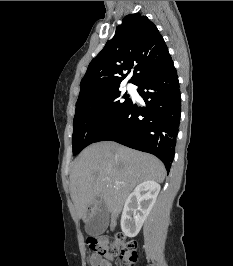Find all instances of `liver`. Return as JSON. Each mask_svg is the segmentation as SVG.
<instances>
[{
  "label": "liver",
  "mask_w": 233,
  "mask_h": 266,
  "mask_svg": "<svg viewBox=\"0 0 233 266\" xmlns=\"http://www.w3.org/2000/svg\"><path fill=\"white\" fill-rule=\"evenodd\" d=\"M165 176L163 163L153 155L112 141L94 143L75 159L70 174V194L77 217L87 221L92 216L88 207L98 197L109 213L118 215L136 185L149 180L162 183ZM116 181L122 184L117 186Z\"/></svg>",
  "instance_id": "obj_1"
}]
</instances>
